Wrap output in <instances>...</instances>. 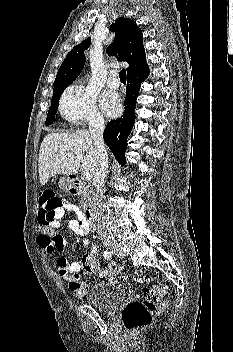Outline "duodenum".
<instances>
[{
  "label": "duodenum",
  "mask_w": 233,
  "mask_h": 352,
  "mask_svg": "<svg viewBox=\"0 0 233 352\" xmlns=\"http://www.w3.org/2000/svg\"><path fill=\"white\" fill-rule=\"evenodd\" d=\"M69 189L72 194H77L83 189H85V187L76 176H70ZM95 217H96V208L93 204H90L86 208L85 219L89 227L92 229L96 227Z\"/></svg>",
  "instance_id": "1"
}]
</instances>
